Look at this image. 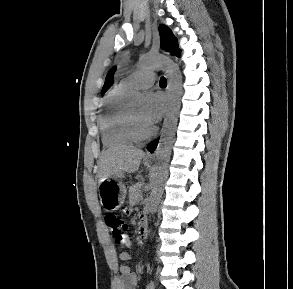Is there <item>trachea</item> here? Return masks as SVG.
Instances as JSON below:
<instances>
[{
    "instance_id": "obj_1",
    "label": "trachea",
    "mask_w": 293,
    "mask_h": 289,
    "mask_svg": "<svg viewBox=\"0 0 293 289\" xmlns=\"http://www.w3.org/2000/svg\"><path fill=\"white\" fill-rule=\"evenodd\" d=\"M159 85L160 86H166L167 85V81L165 77H162L159 81Z\"/></svg>"
}]
</instances>
